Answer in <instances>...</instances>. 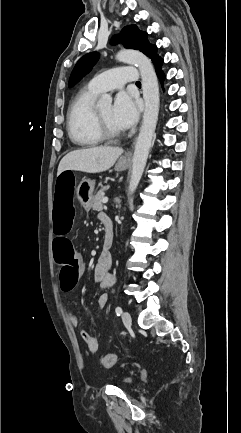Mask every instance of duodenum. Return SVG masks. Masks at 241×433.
I'll return each mask as SVG.
<instances>
[{"label": "duodenum", "mask_w": 241, "mask_h": 433, "mask_svg": "<svg viewBox=\"0 0 241 433\" xmlns=\"http://www.w3.org/2000/svg\"><path fill=\"white\" fill-rule=\"evenodd\" d=\"M101 222L103 223V225L105 227V236H104V241H103L102 253L107 255L110 247L113 244V240H114V225H113L112 219L107 215H104Z\"/></svg>", "instance_id": "1"}]
</instances>
